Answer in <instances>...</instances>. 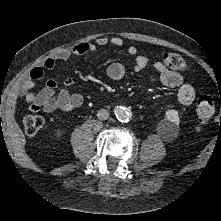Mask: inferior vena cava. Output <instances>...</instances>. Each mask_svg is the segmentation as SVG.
<instances>
[{
    "mask_svg": "<svg viewBox=\"0 0 221 221\" xmlns=\"http://www.w3.org/2000/svg\"><path fill=\"white\" fill-rule=\"evenodd\" d=\"M97 117H98V119H100V120H106V119H108V117H109V112H108L106 109H100V110L97 112Z\"/></svg>",
    "mask_w": 221,
    "mask_h": 221,
    "instance_id": "inferior-vena-cava-1",
    "label": "inferior vena cava"
}]
</instances>
